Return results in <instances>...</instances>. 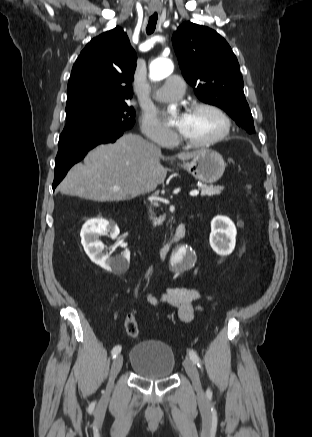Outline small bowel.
<instances>
[{
	"label": "small bowel",
	"mask_w": 312,
	"mask_h": 437,
	"mask_svg": "<svg viewBox=\"0 0 312 437\" xmlns=\"http://www.w3.org/2000/svg\"><path fill=\"white\" fill-rule=\"evenodd\" d=\"M198 297V292L189 287H173L160 294L149 293L147 296L151 304L166 306L183 323L191 321L198 311V307L194 305Z\"/></svg>",
	"instance_id": "c3829d8e"
}]
</instances>
